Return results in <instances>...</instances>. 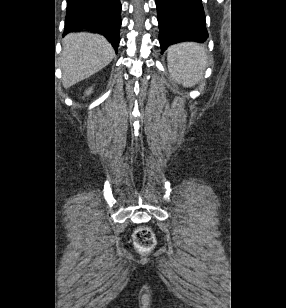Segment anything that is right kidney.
Segmentation results:
<instances>
[{"label":"right kidney","mask_w":286,"mask_h":308,"mask_svg":"<svg viewBox=\"0 0 286 308\" xmlns=\"http://www.w3.org/2000/svg\"><path fill=\"white\" fill-rule=\"evenodd\" d=\"M91 91H92V89H89V90L87 91V94H89Z\"/></svg>","instance_id":"right-kidney-1"}]
</instances>
